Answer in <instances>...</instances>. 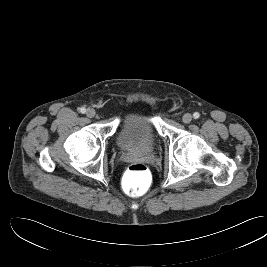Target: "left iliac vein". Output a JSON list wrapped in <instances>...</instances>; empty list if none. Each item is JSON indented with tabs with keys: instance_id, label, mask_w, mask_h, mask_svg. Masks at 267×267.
<instances>
[{
	"instance_id": "left-iliac-vein-1",
	"label": "left iliac vein",
	"mask_w": 267,
	"mask_h": 267,
	"mask_svg": "<svg viewBox=\"0 0 267 267\" xmlns=\"http://www.w3.org/2000/svg\"><path fill=\"white\" fill-rule=\"evenodd\" d=\"M182 121L186 124L190 123L192 121V115L189 113H186L182 117Z\"/></svg>"
}]
</instances>
